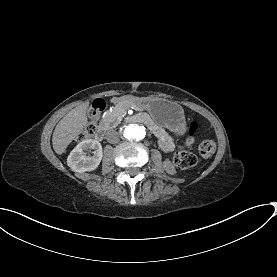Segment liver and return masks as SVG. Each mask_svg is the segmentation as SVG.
<instances>
[{"mask_svg": "<svg viewBox=\"0 0 277 277\" xmlns=\"http://www.w3.org/2000/svg\"><path fill=\"white\" fill-rule=\"evenodd\" d=\"M90 102L85 101L69 111L56 125L52 135V146L54 152L62 155L69 144L81 134L88 125L86 115Z\"/></svg>", "mask_w": 277, "mask_h": 277, "instance_id": "obj_1", "label": "liver"}]
</instances>
